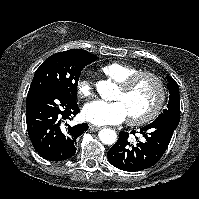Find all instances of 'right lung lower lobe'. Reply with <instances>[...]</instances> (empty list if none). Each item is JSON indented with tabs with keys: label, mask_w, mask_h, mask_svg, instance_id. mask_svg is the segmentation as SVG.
<instances>
[{
	"label": "right lung lower lobe",
	"mask_w": 199,
	"mask_h": 199,
	"mask_svg": "<svg viewBox=\"0 0 199 199\" xmlns=\"http://www.w3.org/2000/svg\"><path fill=\"white\" fill-rule=\"evenodd\" d=\"M76 101L57 88L44 85L30 88L26 99V123L35 150L50 161H63L76 153V139L88 124H64L78 114Z\"/></svg>",
	"instance_id": "obj_1"
}]
</instances>
